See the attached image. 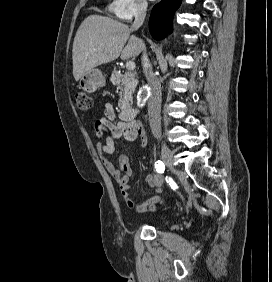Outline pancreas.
<instances>
[{"label":"pancreas","instance_id":"cf45deb5","mask_svg":"<svg viewBox=\"0 0 272 282\" xmlns=\"http://www.w3.org/2000/svg\"><path fill=\"white\" fill-rule=\"evenodd\" d=\"M111 82L116 85L120 91L119 106H128L132 101V95L138 84V79L135 72L130 70L121 74L119 71L114 70L110 78Z\"/></svg>","mask_w":272,"mask_h":282}]
</instances>
